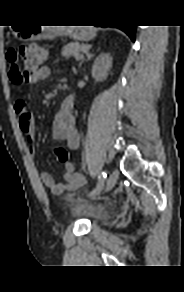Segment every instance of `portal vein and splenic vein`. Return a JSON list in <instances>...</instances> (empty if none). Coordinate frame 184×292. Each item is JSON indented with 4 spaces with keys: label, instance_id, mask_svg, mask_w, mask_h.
Returning a JSON list of instances; mask_svg holds the SVG:
<instances>
[{
    "label": "portal vein and splenic vein",
    "instance_id": "1",
    "mask_svg": "<svg viewBox=\"0 0 184 292\" xmlns=\"http://www.w3.org/2000/svg\"><path fill=\"white\" fill-rule=\"evenodd\" d=\"M82 57H83V55H80V56H77L76 59H80V58H82Z\"/></svg>",
    "mask_w": 184,
    "mask_h": 292
}]
</instances>
